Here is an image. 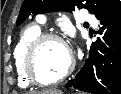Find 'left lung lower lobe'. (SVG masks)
Returning a JSON list of instances; mask_svg holds the SVG:
<instances>
[{
    "mask_svg": "<svg viewBox=\"0 0 121 94\" xmlns=\"http://www.w3.org/2000/svg\"><path fill=\"white\" fill-rule=\"evenodd\" d=\"M103 43L92 44L81 71L66 87L92 94H120L121 88V8L102 19ZM101 52V53H100Z\"/></svg>",
    "mask_w": 121,
    "mask_h": 94,
    "instance_id": "left-lung-lower-lobe-1",
    "label": "left lung lower lobe"
}]
</instances>
